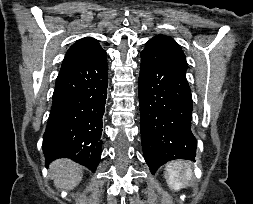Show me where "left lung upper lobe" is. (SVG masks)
<instances>
[{"label":"left lung upper lobe","instance_id":"obj_1","mask_svg":"<svg viewBox=\"0 0 253 204\" xmlns=\"http://www.w3.org/2000/svg\"><path fill=\"white\" fill-rule=\"evenodd\" d=\"M147 47H158L163 51L176 56L181 59L186 65V57L180 48V46L169 36L157 35L150 39L147 44Z\"/></svg>","mask_w":253,"mask_h":204}]
</instances>
